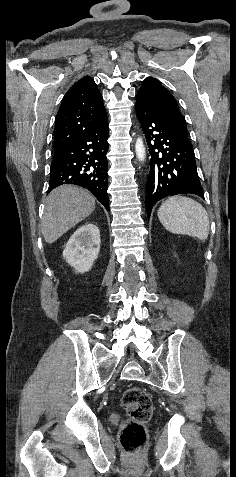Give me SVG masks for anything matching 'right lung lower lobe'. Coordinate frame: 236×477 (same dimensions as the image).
<instances>
[{
	"label": "right lung lower lobe",
	"mask_w": 236,
	"mask_h": 477,
	"mask_svg": "<svg viewBox=\"0 0 236 477\" xmlns=\"http://www.w3.org/2000/svg\"><path fill=\"white\" fill-rule=\"evenodd\" d=\"M108 121L95 127L64 150L54 153L50 188L75 184L88 189L109 210Z\"/></svg>",
	"instance_id": "1"
}]
</instances>
